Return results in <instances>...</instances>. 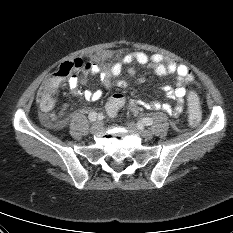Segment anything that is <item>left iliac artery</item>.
<instances>
[{"instance_id": "44dca946", "label": "left iliac artery", "mask_w": 233, "mask_h": 233, "mask_svg": "<svg viewBox=\"0 0 233 233\" xmlns=\"http://www.w3.org/2000/svg\"><path fill=\"white\" fill-rule=\"evenodd\" d=\"M146 126H150L153 123V120L151 118H144L142 121Z\"/></svg>"}]
</instances>
